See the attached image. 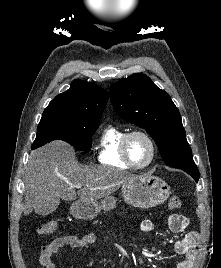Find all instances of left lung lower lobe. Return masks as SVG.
<instances>
[{
    "instance_id": "left-lung-lower-lobe-1",
    "label": "left lung lower lobe",
    "mask_w": 221,
    "mask_h": 268,
    "mask_svg": "<svg viewBox=\"0 0 221 268\" xmlns=\"http://www.w3.org/2000/svg\"><path fill=\"white\" fill-rule=\"evenodd\" d=\"M179 169L185 171L186 173H188L189 175H191L196 182H198L199 180V171L197 169V166H184V167H180Z\"/></svg>"
}]
</instances>
